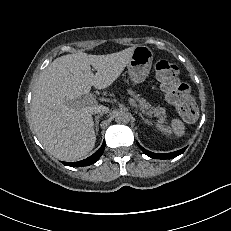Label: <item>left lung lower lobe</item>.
Listing matches in <instances>:
<instances>
[{
	"instance_id": "left-lung-lower-lobe-1",
	"label": "left lung lower lobe",
	"mask_w": 231,
	"mask_h": 231,
	"mask_svg": "<svg viewBox=\"0 0 231 231\" xmlns=\"http://www.w3.org/2000/svg\"><path fill=\"white\" fill-rule=\"evenodd\" d=\"M138 146L141 148V150L146 155H148L151 158H156V159H170V158H174V157H177L178 155L182 154L185 151V149H186V148H184V149H181L179 151L172 152V153L157 154V153H153V152H150V151L144 149L142 146H140V144H138Z\"/></svg>"
}]
</instances>
